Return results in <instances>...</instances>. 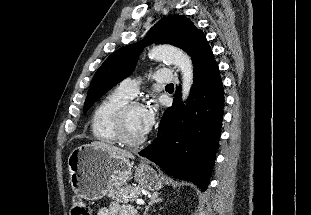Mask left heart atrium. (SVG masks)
I'll return each mask as SVG.
<instances>
[{
	"label": "left heart atrium",
	"mask_w": 311,
	"mask_h": 215,
	"mask_svg": "<svg viewBox=\"0 0 311 215\" xmlns=\"http://www.w3.org/2000/svg\"><path fill=\"white\" fill-rule=\"evenodd\" d=\"M156 116V110L153 106L142 107L140 116V130L143 135H146L152 128Z\"/></svg>",
	"instance_id": "left-heart-atrium-1"
}]
</instances>
